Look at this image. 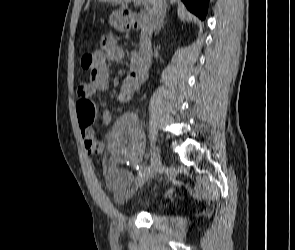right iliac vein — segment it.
<instances>
[{
  "label": "right iliac vein",
  "mask_w": 295,
  "mask_h": 250,
  "mask_svg": "<svg viewBox=\"0 0 295 250\" xmlns=\"http://www.w3.org/2000/svg\"><path fill=\"white\" fill-rule=\"evenodd\" d=\"M154 163L150 169V171L146 174L141 175L137 182H136V188H141L145 185V183L153 177L158 172H161L163 170V164L160 157V147L157 145L153 147V156H152Z\"/></svg>",
  "instance_id": "right-iliac-vein-1"
}]
</instances>
